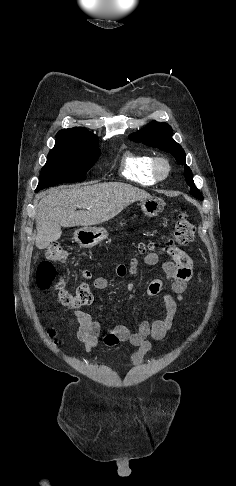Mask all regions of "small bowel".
<instances>
[{"label": "small bowel", "instance_id": "small-bowel-1", "mask_svg": "<svg viewBox=\"0 0 236 486\" xmlns=\"http://www.w3.org/2000/svg\"><path fill=\"white\" fill-rule=\"evenodd\" d=\"M165 251L171 256L172 261H165L160 264L166 278L171 282L172 294H164L158 305L160 318L150 322L142 321L136 331H131L125 325H115L110 332L104 337V342L108 346H114L119 342H127L137 347V350L131 356V362L137 365L142 362L143 357L152 347L150 338L153 340H162L172 328L175 315L178 312V306L184 299V293L187 284L192 277L193 262L187 253L177 247H166ZM144 262L149 266L159 264V257L156 253H149L145 256ZM139 262L137 258H132L127 268L120 264L116 267V274L123 277L127 272L134 274L137 272ZM93 286L97 290L108 288V281L104 277H97L93 280ZM163 282L161 279L151 280L146 289L150 297H156L161 294ZM128 290L133 292L135 287L128 284ZM74 318L70 323L78 324L75 332L76 337L83 343L87 351H91L98 344L99 336L102 333L100 322L95 320L92 314L82 311H74Z\"/></svg>", "mask_w": 236, "mask_h": 486}]
</instances>
